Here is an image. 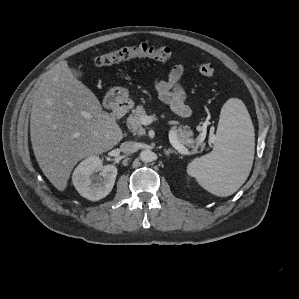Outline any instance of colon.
Wrapping results in <instances>:
<instances>
[{"label":"colon","mask_w":299,"mask_h":299,"mask_svg":"<svg viewBox=\"0 0 299 299\" xmlns=\"http://www.w3.org/2000/svg\"><path fill=\"white\" fill-rule=\"evenodd\" d=\"M172 56V49L168 46H153L147 42L128 45L117 50L104 53L94 59L96 67H105L128 61L134 58H151L157 61H168ZM201 75L210 77L215 73V66L211 62H201L198 65Z\"/></svg>","instance_id":"5ec220e1"}]
</instances>
